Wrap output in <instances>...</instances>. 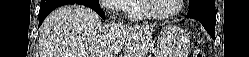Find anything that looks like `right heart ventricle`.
<instances>
[{"instance_id":"obj_1","label":"right heart ventricle","mask_w":249,"mask_h":57,"mask_svg":"<svg viewBox=\"0 0 249 57\" xmlns=\"http://www.w3.org/2000/svg\"><path fill=\"white\" fill-rule=\"evenodd\" d=\"M126 11L132 19L141 20L147 18L141 10V0H128L126 3Z\"/></svg>"}]
</instances>
